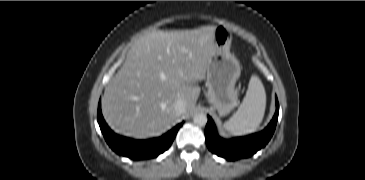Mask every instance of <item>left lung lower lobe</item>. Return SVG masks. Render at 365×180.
I'll return each mask as SVG.
<instances>
[{
    "instance_id": "1",
    "label": "left lung lower lobe",
    "mask_w": 365,
    "mask_h": 180,
    "mask_svg": "<svg viewBox=\"0 0 365 180\" xmlns=\"http://www.w3.org/2000/svg\"><path fill=\"white\" fill-rule=\"evenodd\" d=\"M279 104L276 97V112L269 125L259 133L234 139H222L218 136L211 117L205 128L206 144L210 151L227 160L250 157L263 148L272 137L278 120Z\"/></svg>"
}]
</instances>
